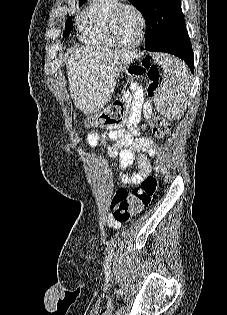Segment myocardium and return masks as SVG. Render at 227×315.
I'll return each instance as SVG.
<instances>
[{
	"label": "myocardium",
	"mask_w": 227,
	"mask_h": 315,
	"mask_svg": "<svg viewBox=\"0 0 227 315\" xmlns=\"http://www.w3.org/2000/svg\"><path fill=\"white\" fill-rule=\"evenodd\" d=\"M124 9H130L134 11L140 20L139 39L136 43L132 45H123L119 43L115 36L114 27H115L116 20ZM146 27H147V20L144 13L142 12L140 8H138L136 5L131 4V3H119L118 5H116L109 16L108 25H107L108 36L112 44L116 47L126 49V50L136 49L143 43L144 38H145V33H146Z\"/></svg>",
	"instance_id": "myocardium-1"
}]
</instances>
